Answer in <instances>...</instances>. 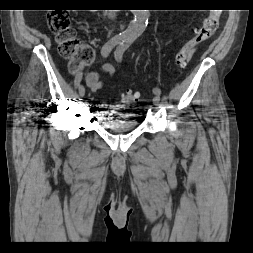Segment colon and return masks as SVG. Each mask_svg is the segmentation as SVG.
<instances>
[{
  "label": "colon",
  "instance_id": "5ec220e1",
  "mask_svg": "<svg viewBox=\"0 0 253 253\" xmlns=\"http://www.w3.org/2000/svg\"><path fill=\"white\" fill-rule=\"evenodd\" d=\"M217 11L208 15L202 25L196 30L195 36L187 41L175 56V65L181 70L186 67L197 47L211 38L219 26ZM49 27L55 33L59 42V52L70 60L71 71L80 70L94 60V51L87 45L80 43L73 34L71 22L66 12H52L49 15ZM139 93L127 91L121 97L125 104H133L139 100Z\"/></svg>",
  "mask_w": 253,
  "mask_h": 253
}]
</instances>
